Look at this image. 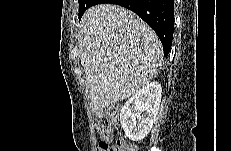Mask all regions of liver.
<instances>
[{
  "label": "liver",
  "instance_id": "1",
  "mask_svg": "<svg viewBox=\"0 0 231 151\" xmlns=\"http://www.w3.org/2000/svg\"><path fill=\"white\" fill-rule=\"evenodd\" d=\"M79 29L80 60L95 113L135 95L163 66L159 38L124 7L92 6Z\"/></svg>",
  "mask_w": 231,
  "mask_h": 151
}]
</instances>
